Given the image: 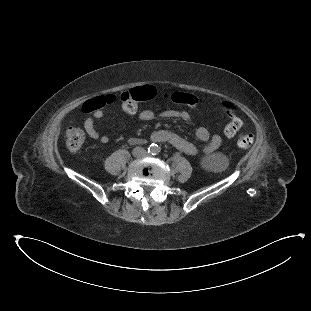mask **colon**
<instances>
[{"label": "colon", "mask_w": 311, "mask_h": 311, "mask_svg": "<svg viewBox=\"0 0 311 311\" xmlns=\"http://www.w3.org/2000/svg\"><path fill=\"white\" fill-rule=\"evenodd\" d=\"M155 94L154 86H143L140 88H135L131 91L124 92L119 95L122 102V108L128 113H134L138 108V100L150 99ZM163 97L166 99H171L175 103L184 104L191 108L196 107V100L193 95L181 92H175L173 94L164 93ZM115 102V99L111 95L102 94L99 97L91 96L86 98L82 102L81 108L78 112L82 115H86L90 110L95 109L100 104L111 106ZM216 106L224 109L228 115H230L232 120L224 128V133L227 136H232L235 130L236 122L238 121V113L236 110L228 103L223 100H217ZM242 123V122H241ZM85 132L79 128H71L66 132V145L71 153H76L83 145L85 141ZM254 143V137L248 133L243 134V136H238V146L243 150H247L252 147Z\"/></svg>", "instance_id": "5ec220e1"}]
</instances>
